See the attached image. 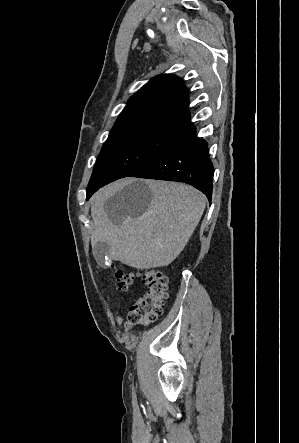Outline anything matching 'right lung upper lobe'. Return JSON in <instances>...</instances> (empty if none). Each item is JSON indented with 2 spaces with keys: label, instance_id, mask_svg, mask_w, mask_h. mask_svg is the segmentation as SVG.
<instances>
[{
  "label": "right lung upper lobe",
  "instance_id": "cb5924a9",
  "mask_svg": "<svg viewBox=\"0 0 299 443\" xmlns=\"http://www.w3.org/2000/svg\"><path fill=\"white\" fill-rule=\"evenodd\" d=\"M188 105L187 88L178 77L157 76L129 99L111 132L146 120L184 123L190 117Z\"/></svg>",
  "mask_w": 299,
  "mask_h": 443
}]
</instances>
